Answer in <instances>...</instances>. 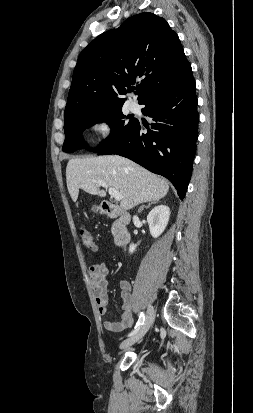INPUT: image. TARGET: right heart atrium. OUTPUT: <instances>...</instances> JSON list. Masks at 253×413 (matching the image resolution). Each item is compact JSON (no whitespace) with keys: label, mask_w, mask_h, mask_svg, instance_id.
Wrapping results in <instances>:
<instances>
[{"label":"right heart atrium","mask_w":253,"mask_h":413,"mask_svg":"<svg viewBox=\"0 0 253 413\" xmlns=\"http://www.w3.org/2000/svg\"><path fill=\"white\" fill-rule=\"evenodd\" d=\"M114 129L113 119L108 115H100L91 123V130L97 143H104L111 137Z\"/></svg>","instance_id":"d8ad5b80"}]
</instances>
